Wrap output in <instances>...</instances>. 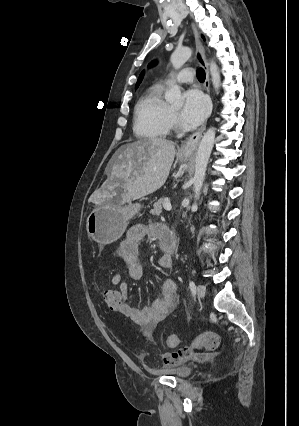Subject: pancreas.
I'll return each mask as SVG.
<instances>
[{
    "label": "pancreas",
    "mask_w": 299,
    "mask_h": 426,
    "mask_svg": "<svg viewBox=\"0 0 299 426\" xmlns=\"http://www.w3.org/2000/svg\"><path fill=\"white\" fill-rule=\"evenodd\" d=\"M167 201V198H160L157 202L154 203L153 208L150 210V213L152 215H160L162 213L163 204Z\"/></svg>",
    "instance_id": "cf45deb5"
}]
</instances>
